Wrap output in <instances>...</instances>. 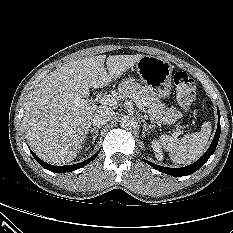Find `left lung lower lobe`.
I'll list each match as a JSON object with an SVG mask.
<instances>
[{
  "mask_svg": "<svg viewBox=\"0 0 233 233\" xmlns=\"http://www.w3.org/2000/svg\"><path fill=\"white\" fill-rule=\"evenodd\" d=\"M218 110V125H217V130H216V134L214 136V139L209 147V149L206 151V153L199 159L197 160L195 163L186 166V167H182V168H167V167H163V166H159L156 165L152 162L146 161L144 160L146 163H148L149 165H151L154 169L172 175V176H176V177H182V176H186V175H190L192 173H194L195 171H197L199 168H201L205 162L209 159V157L214 153L216 147H217V143L219 141V137H220V132H221V126H220V112L219 109Z\"/></svg>",
  "mask_w": 233,
  "mask_h": 233,
  "instance_id": "1",
  "label": "left lung lower lobe"
}]
</instances>
